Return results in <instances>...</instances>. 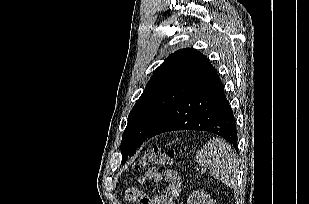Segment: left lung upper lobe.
<instances>
[{"label":"left lung upper lobe","instance_id":"1","mask_svg":"<svg viewBox=\"0 0 309 204\" xmlns=\"http://www.w3.org/2000/svg\"><path fill=\"white\" fill-rule=\"evenodd\" d=\"M216 74L209 59L195 49H180L165 59L128 116L121 141L122 163L135 153L171 106Z\"/></svg>","mask_w":309,"mask_h":204}]
</instances>
